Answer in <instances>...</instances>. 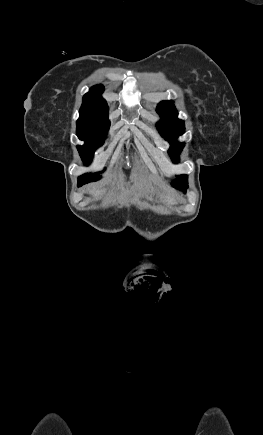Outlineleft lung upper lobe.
<instances>
[{"instance_id":"left-lung-upper-lobe-1","label":"left lung upper lobe","mask_w":263,"mask_h":435,"mask_svg":"<svg viewBox=\"0 0 263 435\" xmlns=\"http://www.w3.org/2000/svg\"><path fill=\"white\" fill-rule=\"evenodd\" d=\"M157 112L162 116L157 128L160 134L169 140L171 147L168 153L171 155L172 160L177 162V157L184 147V143H178L175 139L184 133V122L176 119L177 111L172 101H162L159 103ZM172 186L185 192L188 188L187 175H180L179 178L172 183Z\"/></svg>"}]
</instances>
